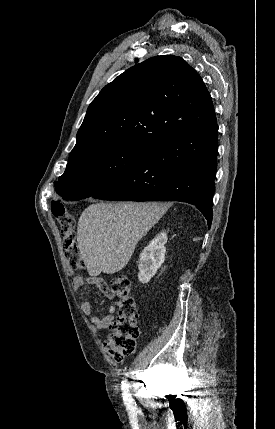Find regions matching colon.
I'll use <instances>...</instances> for the list:
<instances>
[{
    "instance_id": "5ec220e1",
    "label": "colon",
    "mask_w": 275,
    "mask_h": 429,
    "mask_svg": "<svg viewBox=\"0 0 275 429\" xmlns=\"http://www.w3.org/2000/svg\"><path fill=\"white\" fill-rule=\"evenodd\" d=\"M52 213L57 218L62 238L65 242V255L68 265L72 269L84 268L76 241L75 219L66 206L59 202H52ZM114 296L118 298V317L110 325L111 332L104 342L107 353L116 361L122 362L136 349V342L140 335L137 324L139 312L136 301L131 293V282L125 275H119L112 280L110 286Z\"/></svg>"
}]
</instances>
